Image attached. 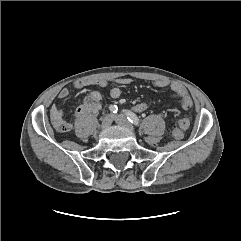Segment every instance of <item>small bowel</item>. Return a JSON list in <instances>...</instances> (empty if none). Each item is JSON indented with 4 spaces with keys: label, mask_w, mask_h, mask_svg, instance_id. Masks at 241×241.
<instances>
[{
    "label": "small bowel",
    "mask_w": 241,
    "mask_h": 241,
    "mask_svg": "<svg viewBox=\"0 0 241 241\" xmlns=\"http://www.w3.org/2000/svg\"><path fill=\"white\" fill-rule=\"evenodd\" d=\"M116 86L112 87L110 89V96L113 99H118L121 96V87H125L129 85L132 80L130 78L122 77L117 78L113 81ZM153 84L156 87L159 88H170L173 97L178 101L180 107L183 110H189L192 105V99L189 96L187 90L181 86L180 84L176 82H170L164 79H157L153 81ZM96 85L101 88H108L110 85V81L106 79H92V78H84V79H78L73 83V88L75 89H81L86 86ZM70 89L69 88H63L59 92V98L65 99L69 96ZM102 96L98 91H92L90 92L82 101V103L76 108L75 110V116L76 117H82L87 114H94L101 110ZM52 120L53 123L55 122L56 117H59V126H55L60 131H69L72 128V122L69 120H65L63 118L62 110L58 107L54 106L51 111Z\"/></svg>",
    "instance_id": "obj_1"
}]
</instances>
